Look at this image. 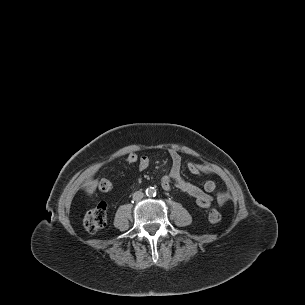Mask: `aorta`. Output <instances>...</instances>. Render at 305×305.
Returning a JSON list of instances; mask_svg holds the SVG:
<instances>
[{
	"instance_id": "762f6f07",
	"label": "aorta",
	"mask_w": 305,
	"mask_h": 305,
	"mask_svg": "<svg viewBox=\"0 0 305 305\" xmlns=\"http://www.w3.org/2000/svg\"><path fill=\"white\" fill-rule=\"evenodd\" d=\"M146 195L151 197L156 195V190L153 187H149L146 189Z\"/></svg>"
}]
</instances>
